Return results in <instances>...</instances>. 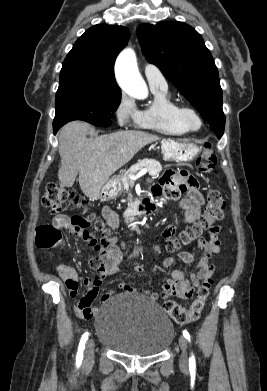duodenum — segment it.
Returning a JSON list of instances; mask_svg holds the SVG:
<instances>
[{"label":"duodenum","instance_id":"1","mask_svg":"<svg viewBox=\"0 0 267 391\" xmlns=\"http://www.w3.org/2000/svg\"><path fill=\"white\" fill-rule=\"evenodd\" d=\"M126 222L129 225H133L138 223V209H134L130 211L126 217Z\"/></svg>","mask_w":267,"mask_h":391}]
</instances>
